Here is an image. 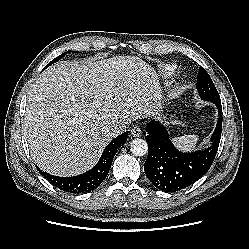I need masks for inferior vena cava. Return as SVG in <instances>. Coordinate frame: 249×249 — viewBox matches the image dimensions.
Instances as JSON below:
<instances>
[{
	"label": "inferior vena cava",
	"instance_id": "obj_1",
	"mask_svg": "<svg viewBox=\"0 0 249 249\" xmlns=\"http://www.w3.org/2000/svg\"><path fill=\"white\" fill-rule=\"evenodd\" d=\"M128 122H120L117 124H114V126L111 128V133L113 136H117L121 133H123L127 127H128Z\"/></svg>",
	"mask_w": 249,
	"mask_h": 249
}]
</instances>
